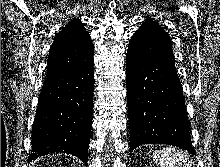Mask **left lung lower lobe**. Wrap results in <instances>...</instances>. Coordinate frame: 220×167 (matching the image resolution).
Instances as JSON below:
<instances>
[{
	"mask_svg": "<svg viewBox=\"0 0 220 167\" xmlns=\"http://www.w3.org/2000/svg\"><path fill=\"white\" fill-rule=\"evenodd\" d=\"M175 61L127 51L126 75L130 148L159 143L195 154L183 89Z\"/></svg>",
	"mask_w": 220,
	"mask_h": 167,
	"instance_id": "obj_1",
	"label": "left lung lower lobe"
}]
</instances>
